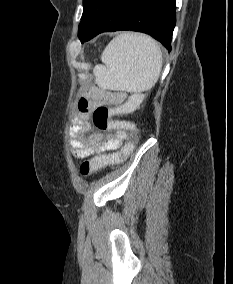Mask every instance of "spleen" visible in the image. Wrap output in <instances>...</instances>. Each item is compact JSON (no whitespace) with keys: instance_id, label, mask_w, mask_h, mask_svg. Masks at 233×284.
<instances>
[{"instance_id":"spleen-1","label":"spleen","mask_w":233,"mask_h":284,"mask_svg":"<svg viewBox=\"0 0 233 284\" xmlns=\"http://www.w3.org/2000/svg\"><path fill=\"white\" fill-rule=\"evenodd\" d=\"M104 65L94 67L96 84L108 90L141 93L155 86L163 64L158 43L151 37L125 32L105 48Z\"/></svg>"}]
</instances>
